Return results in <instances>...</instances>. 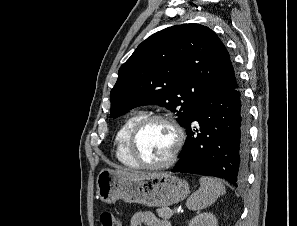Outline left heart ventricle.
Returning a JSON list of instances; mask_svg holds the SVG:
<instances>
[{
    "label": "left heart ventricle",
    "instance_id": "b2bd125f",
    "mask_svg": "<svg viewBox=\"0 0 297 226\" xmlns=\"http://www.w3.org/2000/svg\"><path fill=\"white\" fill-rule=\"evenodd\" d=\"M175 140L171 126L161 121H154L147 124L139 133L136 149L144 162L158 164L170 156Z\"/></svg>",
    "mask_w": 297,
    "mask_h": 226
}]
</instances>
